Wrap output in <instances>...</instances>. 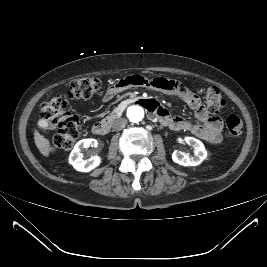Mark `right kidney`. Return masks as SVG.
<instances>
[{"label": "right kidney", "instance_id": "1", "mask_svg": "<svg viewBox=\"0 0 267 267\" xmlns=\"http://www.w3.org/2000/svg\"><path fill=\"white\" fill-rule=\"evenodd\" d=\"M96 139L80 140L73 148L69 156V163L80 172H89L100 165L101 157L98 155L91 156L89 159H83L82 150L88 147H97Z\"/></svg>", "mask_w": 267, "mask_h": 267}]
</instances>
